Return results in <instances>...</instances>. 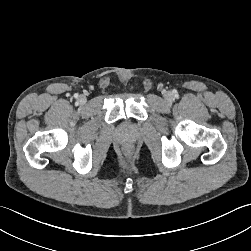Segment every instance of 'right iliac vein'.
<instances>
[{"label":"right iliac vein","mask_w":251,"mask_h":251,"mask_svg":"<svg viewBox=\"0 0 251 251\" xmlns=\"http://www.w3.org/2000/svg\"><path fill=\"white\" fill-rule=\"evenodd\" d=\"M86 101H87V99H86V97L83 96V95H81V96L78 98V102H79L80 104H82V105L85 104Z\"/></svg>","instance_id":"1"}]
</instances>
